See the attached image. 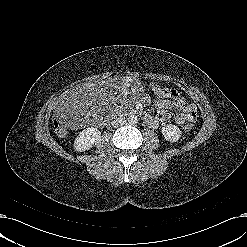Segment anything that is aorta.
Returning a JSON list of instances; mask_svg holds the SVG:
<instances>
[{
	"instance_id": "aorta-1",
	"label": "aorta",
	"mask_w": 247,
	"mask_h": 247,
	"mask_svg": "<svg viewBox=\"0 0 247 247\" xmlns=\"http://www.w3.org/2000/svg\"><path fill=\"white\" fill-rule=\"evenodd\" d=\"M127 120H128V123H129V124H132V125L138 123V118H137L136 115H130V116L127 118Z\"/></svg>"
}]
</instances>
